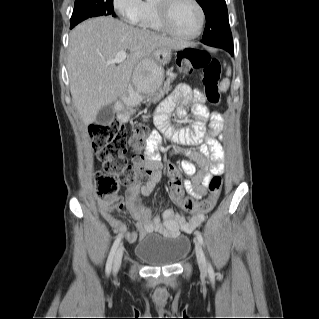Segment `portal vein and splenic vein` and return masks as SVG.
Listing matches in <instances>:
<instances>
[{
  "instance_id": "portal-vein-and-splenic-vein-1",
  "label": "portal vein and splenic vein",
  "mask_w": 319,
  "mask_h": 319,
  "mask_svg": "<svg viewBox=\"0 0 319 319\" xmlns=\"http://www.w3.org/2000/svg\"><path fill=\"white\" fill-rule=\"evenodd\" d=\"M127 58V53L125 51H120L117 53L115 58L111 61L112 63H121Z\"/></svg>"
}]
</instances>
